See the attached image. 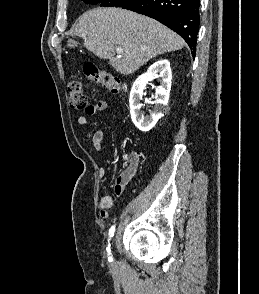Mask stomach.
<instances>
[{"mask_svg": "<svg viewBox=\"0 0 259 294\" xmlns=\"http://www.w3.org/2000/svg\"><path fill=\"white\" fill-rule=\"evenodd\" d=\"M78 46V43L74 39H68L67 41V47L69 48H75Z\"/></svg>", "mask_w": 259, "mask_h": 294, "instance_id": "1", "label": "stomach"}]
</instances>
